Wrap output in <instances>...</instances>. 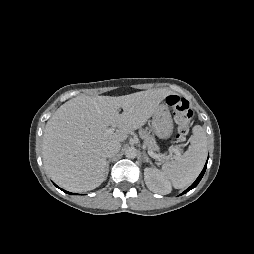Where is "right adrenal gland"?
<instances>
[{"label": "right adrenal gland", "mask_w": 254, "mask_h": 254, "mask_svg": "<svg viewBox=\"0 0 254 254\" xmlns=\"http://www.w3.org/2000/svg\"><path fill=\"white\" fill-rule=\"evenodd\" d=\"M111 162V159H109L107 162H106V172H105V176L107 177L108 173H109V164Z\"/></svg>", "instance_id": "2a0ac1e0"}]
</instances>
